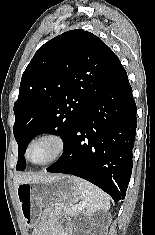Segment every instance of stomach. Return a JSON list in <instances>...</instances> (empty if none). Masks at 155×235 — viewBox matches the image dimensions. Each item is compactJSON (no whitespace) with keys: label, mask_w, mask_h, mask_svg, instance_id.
I'll use <instances>...</instances> for the list:
<instances>
[{"label":"stomach","mask_w":155,"mask_h":235,"mask_svg":"<svg viewBox=\"0 0 155 235\" xmlns=\"http://www.w3.org/2000/svg\"><path fill=\"white\" fill-rule=\"evenodd\" d=\"M20 212L27 227H35L42 209L54 205H69L79 201L80 193L70 176L21 183L16 188Z\"/></svg>","instance_id":"stomach-1"}]
</instances>
